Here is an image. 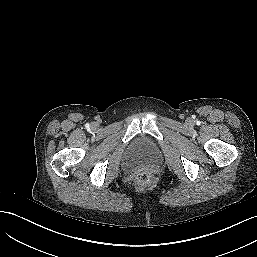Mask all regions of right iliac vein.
I'll use <instances>...</instances> for the list:
<instances>
[{"mask_svg": "<svg viewBox=\"0 0 257 257\" xmlns=\"http://www.w3.org/2000/svg\"><path fill=\"white\" fill-rule=\"evenodd\" d=\"M97 125L95 123L92 124V128L95 129Z\"/></svg>", "mask_w": 257, "mask_h": 257, "instance_id": "63e3f726", "label": "right iliac vein"}]
</instances>
